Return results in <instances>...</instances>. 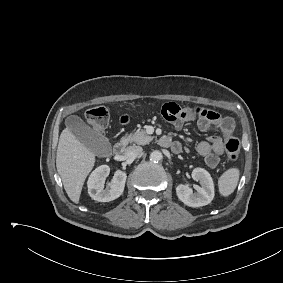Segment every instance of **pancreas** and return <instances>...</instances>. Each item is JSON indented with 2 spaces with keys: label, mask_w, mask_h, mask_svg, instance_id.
Here are the masks:
<instances>
[{
  "label": "pancreas",
  "mask_w": 283,
  "mask_h": 283,
  "mask_svg": "<svg viewBox=\"0 0 283 283\" xmlns=\"http://www.w3.org/2000/svg\"><path fill=\"white\" fill-rule=\"evenodd\" d=\"M153 137L149 136L144 130L137 131L121 139L123 145L136 143L138 145H146L152 141Z\"/></svg>",
  "instance_id": "1"
}]
</instances>
